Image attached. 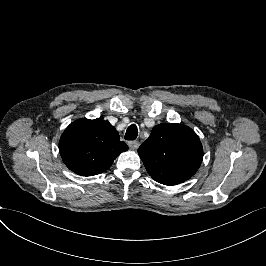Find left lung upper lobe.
Segmentation results:
<instances>
[{
    "instance_id": "obj_1",
    "label": "left lung upper lobe",
    "mask_w": 266,
    "mask_h": 266,
    "mask_svg": "<svg viewBox=\"0 0 266 266\" xmlns=\"http://www.w3.org/2000/svg\"><path fill=\"white\" fill-rule=\"evenodd\" d=\"M149 175L157 182L172 186L192 177L203 159L199 137L189 127L176 123L155 126L138 149Z\"/></svg>"
}]
</instances>
